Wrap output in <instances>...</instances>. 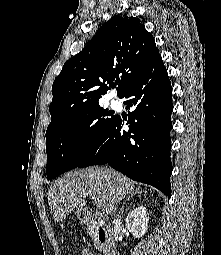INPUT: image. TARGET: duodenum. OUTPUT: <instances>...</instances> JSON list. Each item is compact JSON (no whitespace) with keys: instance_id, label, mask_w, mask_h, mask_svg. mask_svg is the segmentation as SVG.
Wrapping results in <instances>:
<instances>
[{"instance_id":"1","label":"duodenum","mask_w":221,"mask_h":255,"mask_svg":"<svg viewBox=\"0 0 221 255\" xmlns=\"http://www.w3.org/2000/svg\"><path fill=\"white\" fill-rule=\"evenodd\" d=\"M80 220L90 225L95 232L96 240L103 246L104 255H118V249L110 235L105 231L102 217L93 211L80 213Z\"/></svg>"}]
</instances>
